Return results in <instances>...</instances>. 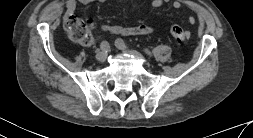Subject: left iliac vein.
I'll list each match as a JSON object with an SVG mask.
<instances>
[{"mask_svg": "<svg viewBox=\"0 0 253 138\" xmlns=\"http://www.w3.org/2000/svg\"><path fill=\"white\" fill-rule=\"evenodd\" d=\"M123 51L127 54L134 55L137 58L143 59V56L136 50L133 49H123Z\"/></svg>", "mask_w": 253, "mask_h": 138, "instance_id": "left-iliac-vein-1", "label": "left iliac vein"}]
</instances>
